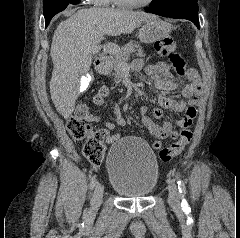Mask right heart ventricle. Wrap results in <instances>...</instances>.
Instances as JSON below:
<instances>
[{
  "label": "right heart ventricle",
  "instance_id": "e07e8e85",
  "mask_svg": "<svg viewBox=\"0 0 240 238\" xmlns=\"http://www.w3.org/2000/svg\"><path fill=\"white\" fill-rule=\"evenodd\" d=\"M113 0H109L108 3L112 2Z\"/></svg>",
  "mask_w": 240,
  "mask_h": 238
}]
</instances>
